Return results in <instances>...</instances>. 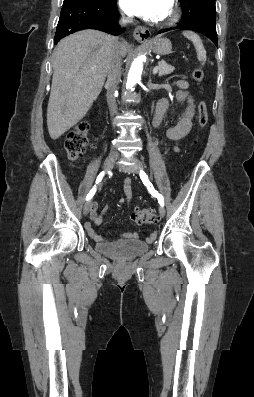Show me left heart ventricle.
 <instances>
[{"label": "left heart ventricle", "instance_id": "1", "mask_svg": "<svg viewBox=\"0 0 254 397\" xmlns=\"http://www.w3.org/2000/svg\"><path fill=\"white\" fill-rule=\"evenodd\" d=\"M171 8H169V10L165 13V15L162 18H165L168 16V14L170 13Z\"/></svg>", "mask_w": 254, "mask_h": 397}]
</instances>
